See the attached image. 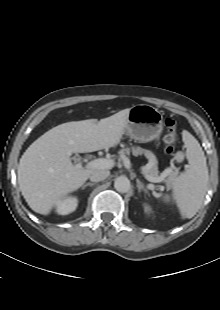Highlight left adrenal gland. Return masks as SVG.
Wrapping results in <instances>:
<instances>
[{
  "label": "left adrenal gland",
  "instance_id": "1",
  "mask_svg": "<svg viewBox=\"0 0 220 310\" xmlns=\"http://www.w3.org/2000/svg\"><path fill=\"white\" fill-rule=\"evenodd\" d=\"M137 181V187H138V192L144 191L145 193H147V189L143 186V184L141 183V181L139 179L136 180Z\"/></svg>",
  "mask_w": 220,
  "mask_h": 310
}]
</instances>
